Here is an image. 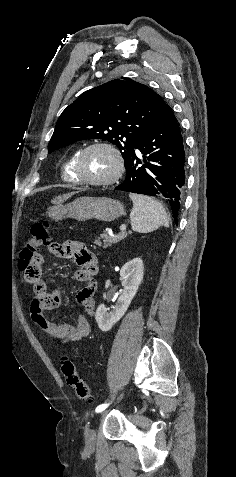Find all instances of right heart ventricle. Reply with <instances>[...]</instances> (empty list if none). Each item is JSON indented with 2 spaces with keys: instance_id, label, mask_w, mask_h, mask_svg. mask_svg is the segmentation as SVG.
<instances>
[{
  "instance_id": "e07e8e85",
  "label": "right heart ventricle",
  "mask_w": 236,
  "mask_h": 477,
  "mask_svg": "<svg viewBox=\"0 0 236 477\" xmlns=\"http://www.w3.org/2000/svg\"><path fill=\"white\" fill-rule=\"evenodd\" d=\"M79 151H74L63 163L61 177L64 182L70 185H78L79 182L74 173L73 165Z\"/></svg>"
}]
</instances>
